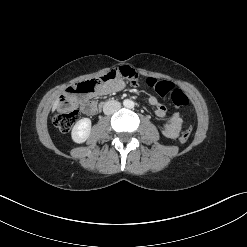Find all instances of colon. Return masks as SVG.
Listing matches in <instances>:
<instances>
[{
	"instance_id": "1",
	"label": "colon",
	"mask_w": 247,
	"mask_h": 247,
	"mask_svg": "<svg viewBox=\"0 0 247 247\" xmlns=\"http://www.w3.org/2000/svg\"><path fill=\"white\" fill-rule=\"evenodd\" d=\"M124 76L133 83H136L137 76L126 70H113L99 79L100 83H106L115 79L118 76ZM147 83L160 96L169 95L173 104L177 107L188 105L189 100L186 94L177 88H174L172 83L167 81H158L156 79H148ZM98 82L91 80L86 81L69 88L68 94L62 96L58 110L53 115V123L61 132H68L74 123L79 118V112L75 108L76 97L79 95H89L97 90ZM192 133V128H187L180 136L181 142H186Z\"/></svg>"
}]
</instances>
